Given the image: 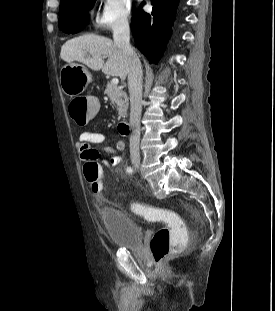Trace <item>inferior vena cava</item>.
I'll return each instance as SVG.
<instances>
[{
  "mask_svg": "<svg viewBox=\"0 0 275 311\" xmlns=\"http://www.w3.org/2000/svg\"><path fill=\"white\" fill-rule=\"evenodd\" d=\"M114 43L128 58V88L130 94V157L139 159L140 118L142 111V66L130 45V28L127 21L121 22L113 31Z\"/></svg>",
  "mask_w": 275,
  "mask_h": 311,
  "instance_id": "1",
  "label": "inferior vena cava"
}]
</instances>
